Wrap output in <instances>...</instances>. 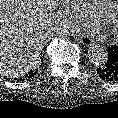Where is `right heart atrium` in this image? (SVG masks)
I'll return each mask as SVG.
<instances>
[{"label":"right heart atrium","mask_w":118,"mask_h":118,"mask_svg":"<svg viewBox=\"0 0 118 118\" xmlns=\"http://www.w3.org/2000/svg\"><path fill=\"white\" fill-rule=\"evenodd\" d=\"M75 19L77 21H81V20H84L85 18L81 14L77 13V15L75 16Z\"/></svg>","instance_id":"d8ad5b80"}]
</instances>
